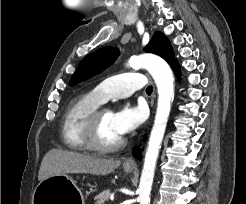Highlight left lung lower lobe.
Returning <instances> with one entry per match:
<instances>
[{
    "label": "left lung lower lobe",
    "mask_w": 246,
    "mask_h": 204,
    "mask_svg": "<svg viewBox=\"0 0 246 204\" xmlns=\"http://www.w3.org/2000/svg\"><path fill=\"white\" fill-rule=\"evenodd\" d=\"M171 67L173 68V70L175 71L176 75L179 76V66L177 61L175 60V62L171 65ZM133 156L137 159L141 158V150L139 148H136L133 151Z\"/></svg>",
    "instance_id": "0a47b994"
}]
</instances>
